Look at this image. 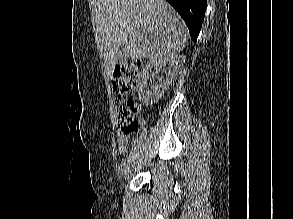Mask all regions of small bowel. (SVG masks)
Here are the masks:
<instances>
[{
  "instance_id": "c3829d8e",
  "label": "small bowel",
  "mask_w": 293,
  "mask_h": 219,
  "mask_svg": "<svg viewBox=\"0 0 293 219\" xmlns=\"http://www.w3.org/2000/svg\"><path fill=\"white\" fill-rule=\"evenodd\" d=\"M118 144H119V151L121 154H125L127 152V148L129 145V135H126L122 132L118 134Z\"/></svg>"
}]
</instances>
